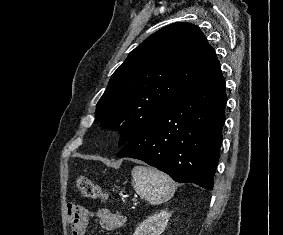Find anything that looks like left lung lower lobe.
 I'll return each instance as SVG.
<instances>
[{
  "mask_svg": "<svg viewBox=\"0 0 283 235\" xmlns=\"http://www.w3.org/2000/svg\"><path fill=\"white\" fill-rule=\"evenodd\" d=\"M219 70L182 96L117 153L142 160L180 183L214 185L226 106Z\"/></svg>",
  "mask_w": 283,
  "mask_h": 235,
  "instance_id": "left-lung-lower-lobe-1",
  "label": "left lung lower lobe"
}]
</instances>
